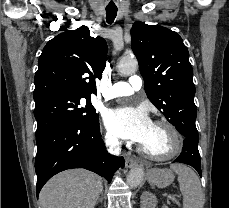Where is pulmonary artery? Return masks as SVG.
<instances>
[{"label": "pulmonary artery", "mask_w": 229, "mask_h": 208, "mask_svg": "<svg viewBox=\"0 0 229 208\" xmlns=\"http://www.w3.org/2000/svg\"><path fill=\"white\" fill-rule=\"evenodd\" d=\"M143 84L142 78L132 73L126 81L116 82L112 89L110 96L111 98H117L122 96H128L141 89Z\"/></svg>", "instance_id": "1"}]
</instances>
